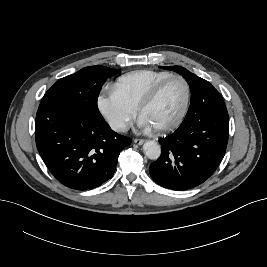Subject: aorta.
<instances>
[{
    "mask_svg": "<svg viewBox=\"0 0 267 267\" xmlns=\"http://www.w3.org/2000/svg\"><path fill=\"white\" fill-rule=\"evenodd\" d=\"M145 155L151 160H157L161 155V147L155 141H147L143 145Z\"/></svg>",
    "mask_w": 267,
    "mask_h": 267,
    "instance_id": "1",
    "label": "aorta"
}]
</instances>
